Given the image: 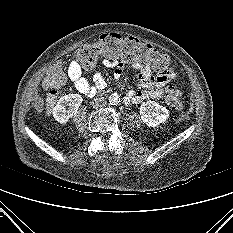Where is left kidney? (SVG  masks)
<instances>
[{
    "label": "left kidney",
    "instance_id": "5707ae66",
    "mask_svg": "<svg viewBox=\"0 0 233 233\" xmlns=\"http://www.w3.org/2000/svg\"><path fill=\"white\" fill-rule=\"evenodd\" d=\"M140 116L147 126L156 127L167 121L169 111L155 101H147L140 106Z\"/></svg>",
    "mask_w": 233,
    "mask_h": 233
}]
</instances>
